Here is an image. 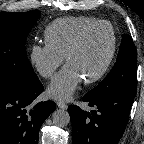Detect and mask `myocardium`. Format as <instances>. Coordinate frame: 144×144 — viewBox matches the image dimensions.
<instances>
[{
  "label": "myocardium",
  "mask_w": 144,
  "mask_h": 144,
  "mask_svg": "<svg viewBox=\"0 0 144 144\" xmlns=\"http://www.w3.org/2000/svg\"><path fill=\"white\" fill-rule=\"evenodd\" d=\"M102 26H108L111 30V35H112L111 49H110V52L103 64V66L100 68V70L98 72H96L94 75H92L91 77L83 79L85 84H92V83H95L98 80H100L107 73V71L114 59L116 49H117V36H116V32H115L113 25L108 21L100 20L94 24H91V25L85 27L74 38V40L70 44V46L67 49V52L65 54V61L68 64L72 55L80 47V45L82 44L84 39L87 37V35L90 32H92L93 30H95L99 27H102Z\"/></svg>",
  "instance_id": "myocardium-1"
}]
</instances>
